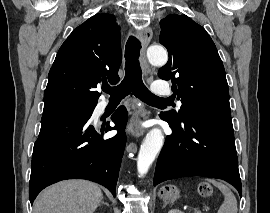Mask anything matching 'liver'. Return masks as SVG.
<instances>
[{
	"mask_svg": "<svg viewBox=\"0 0 270 213\" xmlns=\"http://www.w3.org/2000/svg\"><path fill=\"white\" fill-rule=\"evenodd\" d=\"M103 198L100 188L85 180H67L42 191L33 213H93Z\"/></svg>",
	"mask_w": 270,
	"mask_h": 213,
	"instance_id": "1",
	"label": "liver"
}]
</instances>
